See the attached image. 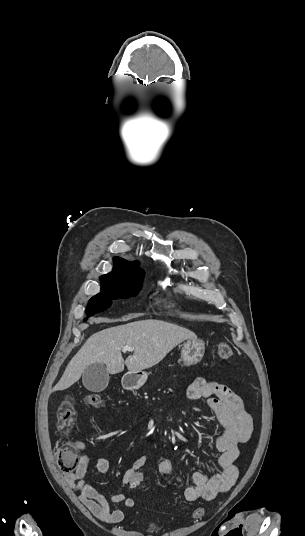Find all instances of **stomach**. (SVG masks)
<instances>
[{"mask_svg":"<svg viewBox=\"0 0 305 536\" xmlns=\"http://www.w3.org/2000/svg\"><path fill=\"white\" fill-rule=\"evenodd\" d=\"M205 352V344L203 340H187L184 342L181 348V360L185 366H193V364H198L201 362ZM130 380V388H141L147 380V374L145 372H132L128 374Z\"/></svg>","mask_w":305,"mask_h":536,"instance_id":"1","label":"stomach"}]
</instances>
